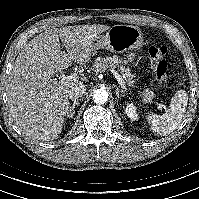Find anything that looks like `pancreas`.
<instances>
[{
    "label": "pancreas",
    "mask_w": 199,
    "mask_h": 199,
    "mask_svg": "<svg viewBox=\"0 0 199 199\" xmlns=\"http://www.w3.org/2000/svg\"><path fill=\"white\" fill-rule=\"evenodd\" d=\"M132 56L134 55L132 54ZM132 56L130 55L131 58ZM125 63L126 61H123L117 55H113V57L97 59L94 67L97 72H103L108 68L111 71H115L117 68L118 72L123 73L127 77L126 84L130 87H135L136 79H133L135 75L131 73V70L128 66H125ZM139 94L143 98L144 102H151L154 98V92L149 88H146L143 92L139 90Z\"/></svg>",
    "instance_id": "cf45deb5"
}]
</instances>
